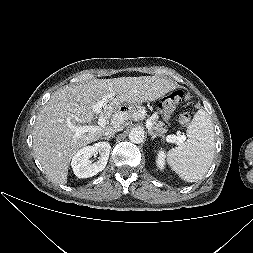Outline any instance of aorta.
<instances>
[{
    "mask_svg": "<svg viewBox=\"0 0 253 253\" xmlns=\"http://www.w3.org/2000/svg\"><path fill=\"white\" fill-rule=\"evenodd\" d=\"M129 139L132 143H142L144 141V131L138 128H134L129 133Z\"/></svg>",
    "mask_w": 253,
    "mask_h": 253,
    "instance_id": "762f6f07",
    "label": "aorta"
}]
</instances>
